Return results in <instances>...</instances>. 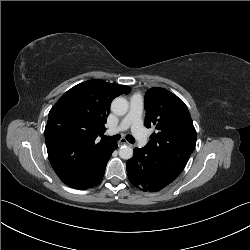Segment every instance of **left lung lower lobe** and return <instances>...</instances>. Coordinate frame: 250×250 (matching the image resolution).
Returning <instances> with one entry per match:
<instances>
[{"label":"left lung lower lobe","mask_w":250,"mask_h":250,"mask_svg":"<svg viewBox=\"0 0 250 250\" xmlns=\"http://www.w3.org/2000/svg\"><path fill=\"white\" fill-rule=\"evenodd\" d=\"M184 167L173 163L169 155H153L147 146L135 148L133 157L126 163L130 182L145 192H155L164 188Z\"/></svg>","instance_id":"obj_1"}]
</instances>
